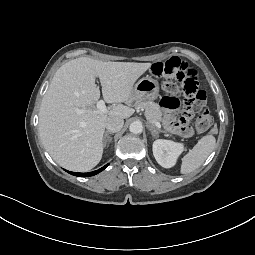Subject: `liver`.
I'll return each instance as SVG.
<instances>
[{"instance_id": "6515ba94", "label": "liver", "mask_w": 255, "mask_h": 255, "mask_svg": "<svg viewBox=\"0 0 255 255\" xmlns=\"http://www.w3.org/2000/svg\"><path fill=\"white\" fill-rule=\"evenodd\" d=\"M151 63L103 62L88 57L73 59L55 73L42 99L39 135L45 149L60 166L77 172L94 168L103 154L108 118L126 119L135 112L119 104L100 113L95 104L100 90L107 103L131 104L133 85ZM83 110V113H78Z\"/></svg>"}]
</instances>
